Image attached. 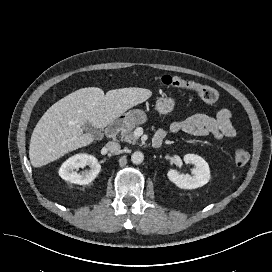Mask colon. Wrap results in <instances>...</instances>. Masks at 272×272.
I'll list each match as a JSON object with an SVG mask.
<instances>
[{
	"mask_svg": "<svg viewBox=\"0 0 272 272\" xmlns=\"http://www.w3.org/2000/svg\"><path fill=\"white\" fill-rule=\"evenodd\" d=\"M158 82L170 89H185L195 92L204 102L213 104L218 101V92L215 88L202 85L193 81L181 79L176 76L163 75L158 78ZM233 160L237 166H244L249 161V154L243 149H238L233 153Z\"/></svg>",
	"mask_w": 272,
	"mask_h": 272,
	"instance_id": "1",
	"label": "colon"
}]
</instances>
